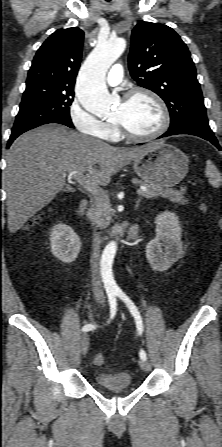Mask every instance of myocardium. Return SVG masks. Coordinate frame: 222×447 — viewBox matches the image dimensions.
I'll return each instance as SVG.
<instances>
[{
    "label": "myocardium",
    "mask_w": 222,
    "mask_h": 447,
    "mask_svg": "<svg viewBox=\"0 0 222 447\" xmlns=\"http://www.w3.org/2000/svg\"><path fill=\"white\" fill-rule=\"evenodd\" d=\"M138 95H145L153 100V102L158 106L160 113H161V124L159 128L154 131L153 133L146 134V135H138L133 132H131L121 121L114 120V125L116 126L117 130L119 131L120 135L123 137L131 140V141H150L153 139H156L163 135L170 125V112L169 109L164 102V100L156 94L154 91L147 89V88H137L133 89L130 92L126 93L124 96V102L129 101L133 99L134 97Z\"/></svg>",
    "instance_id": "myocardium-1"
}]
</instances>
